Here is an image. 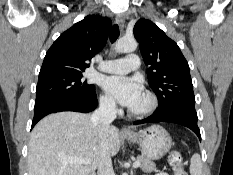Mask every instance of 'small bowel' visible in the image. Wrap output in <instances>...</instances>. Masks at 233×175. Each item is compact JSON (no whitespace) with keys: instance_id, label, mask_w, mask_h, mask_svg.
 <instances>
[{"instance_id":"c3829d8e","label":"small bowel","mask_w":233,"mask_h":175,"mask_svg":"<svg viewBox=\"0 0 233 175\" xmlns=\"http://www.w3.org/2000/svg\"><path fill=\"white\" fill-rule=\"evenodd\" d=\"M156 175H169V174L166 173V172H160V173H158V174H156Z\"/></svg>"}]
</instances>
